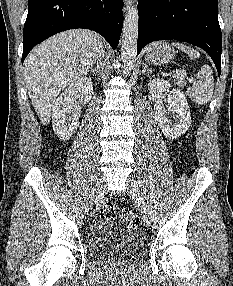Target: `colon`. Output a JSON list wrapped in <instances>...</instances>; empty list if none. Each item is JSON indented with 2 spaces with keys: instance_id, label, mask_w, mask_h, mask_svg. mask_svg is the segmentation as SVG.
<instances>
[{
  "instance_id": "5ec220e1",
  "label": "colon",
  "mask_w": 233,
  "mask_h": 286,
  "mask_svg": "<svg viewBox=\"0 0 233 286\" xmlns=\"http://www.w3.org/2000/svg\"><path fill=\"white\" fill-rule=\"evenodd\" d=\"M101 218H113L115 217V207L111 202H107L100 208ZM120 220L128 222L132 225H138L140 220L137 214L129 209H124L119 214Z\"/></svg>"
}]
</instances>
